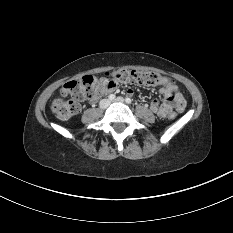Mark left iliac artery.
<instances>
[{"label":"left iliac artery","mask_w":233,"mask_h":233,"mask_svg":"<svg viewBox=\"0 0 233 233\" xmlns=\"http://www.w3.org/2000/svg\"><path fill=\"white\" fill-rule=\"evenodd\" d=\"M125 101H126L128 104H130V103L132 102V100H131L130 98H128V97L125 99Z\"/></svg>","instance_id":"1"}]
</instances>
